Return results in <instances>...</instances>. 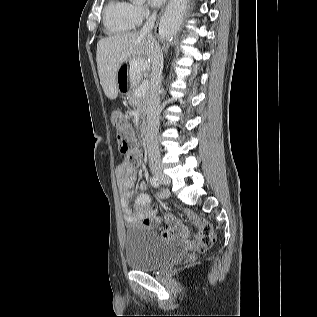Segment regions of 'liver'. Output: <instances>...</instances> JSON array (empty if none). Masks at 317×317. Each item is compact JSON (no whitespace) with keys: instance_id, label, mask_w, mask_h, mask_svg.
Listing matches in <instances>:
<instances>
[{"instance_id":"6515ba94","label":"liver","mask_w":317,"mask_h":317,"mask_svg":"<svg viewBox=\"0 0 317 317\" xmlns=\"http://www.w3.org/2000/svg\"><path fill=\"white\" fill-rule=\"evenodd\" d=\"M97 68L105 95L115 99L118 95L117 72L131 58L141 70H149L153 59L152 42L138 32L118 34L99 40L97 43ZM141 63H145L141 66Z\"/></svg>"}]
</instances>
